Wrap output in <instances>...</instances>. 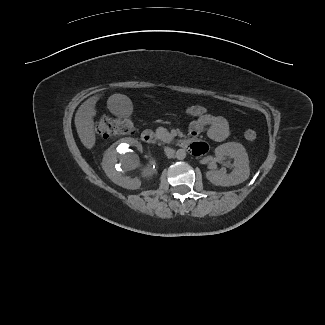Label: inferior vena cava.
Segmentation results:
<instances>
[{
	"label": "inferior vena cava",
	"instance_id": "obj_1",
	"mask_svg": "<svg viewBox=\"0 0 325 325\" xmlns=\"http://www.w3.org/2000/svg\"><path fill=\"white\" fill-rule=\"evenodd\" d=\"M165 154L168 158H172L175 155V150L169 147L164 148Z\"/></svg>",
	"mask_w": 325,
	"mask_h": 325
}]
</instances>
